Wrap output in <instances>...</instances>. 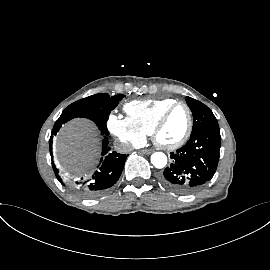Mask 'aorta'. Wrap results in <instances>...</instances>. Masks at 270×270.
Instances as JSON below:
<instances>
[{
    "instance_id": "1",
    "label": "aorta",
    "mask_w": 270,
    "mask_h": 270,
    "mask_svg": "<svg viewBox=\"0 0 270 270\" xmlns=\"http://www.w3.org/2000/svg\"><path fill=\"white\" fill-rule=\"evenodd\" d=\"M151 163L155 168H164L167 164V156L163 152H155L151 155Z\"/></svg>"
}]
</instances>
